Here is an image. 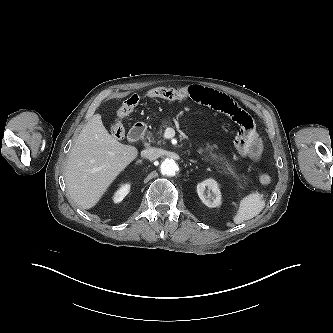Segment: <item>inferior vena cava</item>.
Segmentation results:
<instances>
[{"label":"inferior vena cava","mask_w":333,"mask_h":333,"mask_svg":"<svg viewBox=\"0 0 333 333\" xmlns=\"http://www.w3.org/2000/svg\"><path fill=\"white\" fill-rule=\"evenodd\" d=\"M141 156L153 161L161 156V150L158 148H148L141 152Z\"/></svg>","instance_id":"602c4592"}]
</instances>
